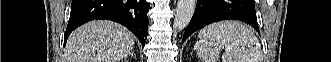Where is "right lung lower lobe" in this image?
Instances as JSON below:
<instances>
[{
  "label": "right lung lower lobe",
  "mask_w": 331,
  "mask_h": 62,
  "mask_svg": "<svg viewBox=\"0 0 331 62\" xmlns=\"http://www.w3.org/2000/svg\"><path fill=\"white\" fill-rule=\"evenodd\" d=\"M148 10L146 0H73L64 41L66 43L71 32L82 24L94 19H107L126 26L144 47Z\"/></svg>",
  "instance_id": "1"
}]
</instances>
